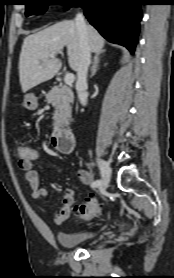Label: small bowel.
Listing matches in <instances>:
<instances>
[{
    "label": "small bowel",
    "instance_id": "small-bowel-1",
    "mask_svg": "<svg viewBox=\"0 0 174 278\" xmlns=\"http://www.w3.org/2000/svg\"><path fill=\"white\" fill-rule=\"evenodd\" d=\"M37 157L34 159H19L18 165L23 170L24 178L29 184L30 191H31V198L33 200H42L49 195V190L47 188L40 187L39 175L35 170ZM59 172L60 170L58 169L57 173ZM77 176L79 181L82 184L92 187L94 181H93V176L89 171L80 169L77 173ZM73 204H74V191L72 189H67L63 195L62 206L55 216V223L57 225H62L67 222Z\"/></svg>",
    "mask_w": 174,
    "mask_h": 278
}]
</instances>
